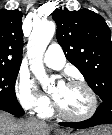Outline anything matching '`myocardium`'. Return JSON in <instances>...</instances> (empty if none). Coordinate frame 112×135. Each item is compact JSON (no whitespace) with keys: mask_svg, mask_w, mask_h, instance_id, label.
Returning <instances> with one entry per match:
<instances>
[{"mask_svg":"<svg viewBox=\"0 0 112 135\" xmlns=\"http://www.w3.org/2000/svg\"><path fill=\"white\" fill-rule=\"evenodd\" d=\"M67 84L70 85H79L81 87H83L89 97V109L87 110V112H85L84 114L81 115H74L71 113H68L66 111H64L56 102V100L54 98H52V109L53 111L60 117L67 119V120H71V121H85L88 120L90 118H92L97 109H98V100H97V96L96 93L94 92V90L92 89V87L84 80H80V79H71L67 82Z\"/></svg>","mask_w":112,"mask_h":135,"instance_id":"myocardium-1","label":"myocardium"}]
</instances>
